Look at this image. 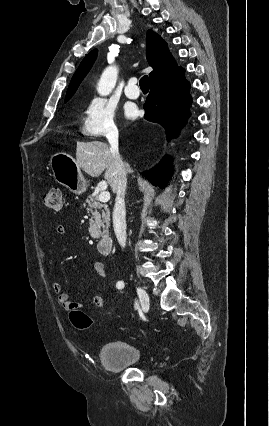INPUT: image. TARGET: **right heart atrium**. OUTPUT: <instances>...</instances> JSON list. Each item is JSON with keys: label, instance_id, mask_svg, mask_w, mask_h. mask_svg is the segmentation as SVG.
Here are the masks:
<instances>
[{"label": "right heart atrium", "instance_id": "1", "mask_svg": "<svg viewBox=\"0 0 269 426\" xmlns=\"http://www.w3.org/2000/svg\"><path fill=\"white\" fill-rule=\"evenodd\" d=\"M80 131L88 137H110L117 134L115 107L105 98H90L81 110Z\"/></svg>", "mask_w": 269, "mask_h": 426}]
</instances>
